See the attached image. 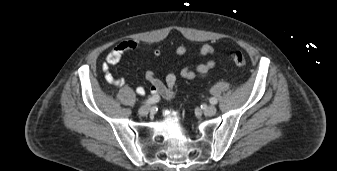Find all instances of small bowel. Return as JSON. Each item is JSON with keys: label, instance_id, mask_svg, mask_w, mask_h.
<instances>
[{"label": "small bowel", "instance_id": "c3829d8e", "mask_svg": "<svg viewBox=\"0 0 337 171\" xmlns=\"http://www.w3.org/2000/svg\"><path fill=\"white\" fill-rule=\"evenodd\" d=\"M138 50V44L133 40H125L118 43L109 53L106 55L105 61L102 63L101 69L105 73V79L108 83L114 84L119 87L126 85V80L123 77H116L110 70L111 66H114L120 62L123 55L127 52H136ZM187 49L185 46L180 45L175 49V55L180 57L185 55ZM200 57L210 56L211 58L203 64L196 66H187L180 70L179 75L186 80H193L196 78H203L210 74L211 70L216 64L215 60V48L210 44L202 45L198 50ZM161 56V50L155 49L153 51V57L159 58ZM145 79L150 84V91L154 96L161 97L165 100H171L174 97V89L177 82V74L170 72L165 77V82H162L154 72L147 71L145 73ZM145 88L137 87L136 93L138 95H144Z\"/></svg>", "mask_w": 337, "mask_h": 171}]
</instances>
